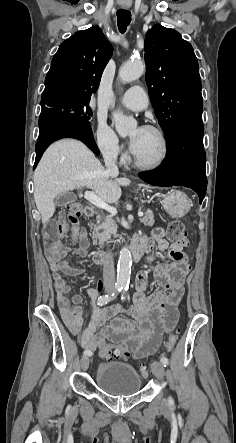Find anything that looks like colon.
I'll return each instance as SVG.
<instances>
[{
	"mask_svg": "<svg viewBox=\"0 0 236 443\" xmlns=\"http://www.w3.org/2000/svg\"><path fill=\"white\" fill-rule=\"evenodd\" d=\"M67 221L72 228V232L78 230L79 218L81 216V207L79 204L71 203L67 206ZM64 225L59 220L51 221L44 229V240L48 246L49 252L54 257L60 258L63 256L62 246L58 241V237L63 235ZM167 233L169 238L174 243L180 246L188 245V238L185 226L182 222L174 220L168 225ZM179 331L175 330L165 343V351L172 352L178 343ZM100 357L105 360L112 359H127L130 356V350L127 346L118 345L114 343H106L102 345L99 351ZM140 373L143 377L148 376L146 367L142 366Z\"/></svg>",
	"mask_w": 236,
	"mask_h": 443,
	"instance_id": "colon-1",
	"label": "colon"
}]
</instances>
